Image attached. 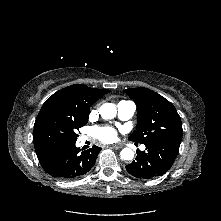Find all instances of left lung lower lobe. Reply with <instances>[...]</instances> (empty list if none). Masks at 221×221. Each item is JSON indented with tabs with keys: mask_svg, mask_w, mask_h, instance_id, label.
<instances>
[{
	"mask_svg": "<svg viewBox=\"0 0 221 221\" xmlns=\"http://www.w3.org/2000/svg\"><path fill=\"white\" fill-rule=\"evenodd\" d=\"M145 146L146 151L137 150L136 160L126 165V170L136 178L150 179L165 174L173 165L180 144L155 141Z\"/></svg>",
	"mask_w": 221,
	"mask_h": 221,
	"instance_id": "1",
	"label": "left lung lower lobe"
}]
</instances>
